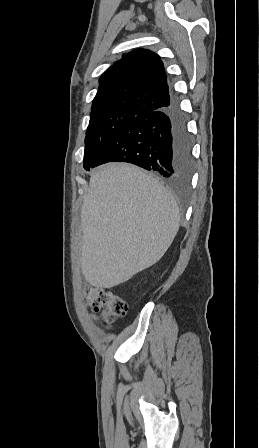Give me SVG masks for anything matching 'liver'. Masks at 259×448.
<instances>
[{
	"label": "liver",
	"mask_w": 259,
	"mask_h": 448,
	"mask_svg": "<svg viewBox=\"0 0 259 448\" xmlns=\"http://www.w3.org/2000/svg\"><path fill=\"white\" fill-rule=\"evenodd\" d=\"M81 272L114 288L156 264L179 230V208L157 178L132 164H107L90 178L81 208Z\"/></svg>",
	"instance_id": "obj_1"
}]
</instances>
